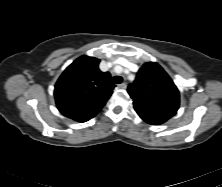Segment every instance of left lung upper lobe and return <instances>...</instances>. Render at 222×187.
<instances>
[{
	"label": "left lung upper lobe",
	"mask_w": 222,
	"mask_h": 187,
	"mask_svg": "<svg viewBox=\"0 0 222 187\" xmlns=\"http://www.w3.org/2000/svg\"><path fill=\"white\" fill-rule=\"evenodd\" d=\"M128 93L134 108L175 115L179 108V91L163 68L154 62L145 63L138 71Z\"/></svg>",
	"instance_id": "left-lung-upper-lobe-1"
}]
</instances>
